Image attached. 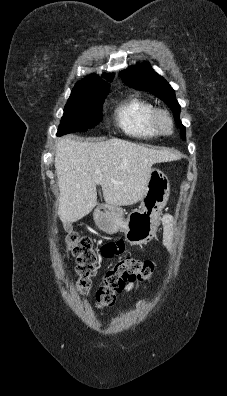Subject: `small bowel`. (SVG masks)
Here are the masks:
<instances>
[{
  "mask_svg": "<svg viewBox=\"0 0 227 396\" xmlns=\"http://www.w3.org/2000/svg\"><path fill=\"white\" fill-rule=\"evenodd\" d=\"M164 234L163 244L168 250L173 249V218L169 215H165L163 218ZM124 250V243L122 241H112L104 244L101 247V254L104 257L111 258L115 255L122 253ZM134 289V285L131 283L127 286L126 290L131 291Z\"/></svg>",
  "mask_w": 227,
  "mask_h": 396,
  "instance_id": "obj_1",
  "label": "small bowel"
}]
</instances>
